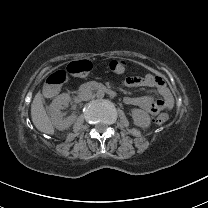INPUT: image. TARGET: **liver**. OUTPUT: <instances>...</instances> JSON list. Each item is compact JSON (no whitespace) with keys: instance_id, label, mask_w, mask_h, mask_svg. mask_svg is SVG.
<instances>
[{"instance_id":"obj_1","label":"liver","mask_w":208,"mask_h":208,"mask_svg":"<svg viewBox=\"0 0 208 208\" xmlns=\"http://www.w3.org/2000/svg\"><path fill=\"white\" fill-rule=\"evenodd\" d=\"M44 98L41 90H39L33 98L31 104V119L36 129L48 135H54L55 129L53 123L46 113L43 105Z\"/></svg>"}]
</instances>
